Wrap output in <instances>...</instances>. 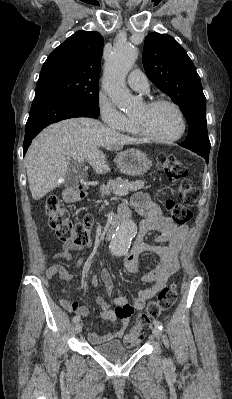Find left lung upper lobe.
<instances>
[{"instance_id":"obj_1","label":"left lung upper lobe","mask_w":232,"mask_h":399,"mask_svg":"<svg viewBox=\"0 0 232 399\" xmlns=\"http://www.w3.org/2000/svg\"><path fill=\"white\" fill-rule=\"evenodd\" d=\"M143 65L147 77L180 107L187 120L189 132L179 145L209 154L206 98L186 51L172 36L150 33L144 42Z\"/></svg>"}]
</instances>
